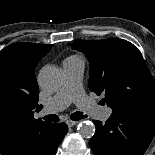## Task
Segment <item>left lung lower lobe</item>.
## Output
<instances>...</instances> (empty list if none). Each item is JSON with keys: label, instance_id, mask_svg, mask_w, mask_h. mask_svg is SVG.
<instances>
[{"label": "left lung lower lobe", "instance_id": "obj_1", "mask_svg": "<svg viewBox=\"0 0 155 155\" xmlns=\"http://www.w3.org/2000/svg\"><path fill=\"white\" fill-rule=\"evenodd\" d=\"M96 132L89 145L95 155H143L155 132V113L113 114L105 122L94 120Z\"/></svg>", "mask_w": 155, "mask_h": 155}]
</instances>
